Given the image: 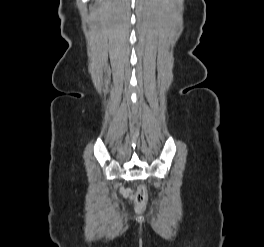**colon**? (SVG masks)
Returning <instances> with one entry per match:
<instances>
[{"mask_svg": "<svg viewBox=\"0 0 264 247\" xmlns=\"http://www.w3.org/2000/svg\"><path fill=\"white\" fill-rule=\"evenodd\" d=\"M134 202L138 210H143L148 202V193L146 188L141 185L134 195Z\"/></svg>", "mask_w": 264, "mask_h": 247, "instance_id": "5ec220e1", "label": "colon"}]
</instances>
